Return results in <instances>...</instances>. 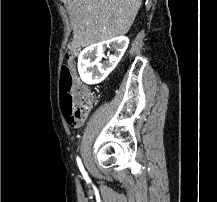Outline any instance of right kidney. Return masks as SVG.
Here are the masks:
<instances>
[{"instance_id": "right-kidney-1", "label": "right kidney", "mask_w": 217, "mask_h": 202, "mask_svg": "<svg viewBox=\"0 0 217 202\" xmlns=\"http://www.w3.org/2000/svg\"><path fill=\"white\" fill-rule=\"evenodd\" d=\"M128 44V38L120 36V38H112V40H107V42H98V44H93V46H88V48L82 50L78 58V72L81 80L85 84H99V82H103L120 62L125 50L128 48ZM108 46L110 50H113L114 54L108 56L106 62L101 64V60L104 58L103 52H105Z\"/></svg>"}]
</instances>
